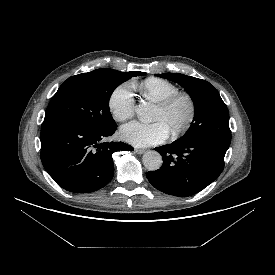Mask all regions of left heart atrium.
Instances as JSON below:
<instances>
[{"instance_id":"left-heart-atrium-1","label":"left heart atrium","mask_w":275,"mask_h":275,"mask_svg":"<svg viewBox=\"0 0 275 275\" xmlns=\"http://www.w3.org/2000/svg\"><path fill=\"white\" fill-rule=\"evenodd\" d=\"M170 132L161 121L144 123L132 121L121 127V138L136 147H147L164 142Z\"/></svg>"}]
</instances>
